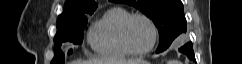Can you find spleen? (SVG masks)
<instances>
[{"mask_svg": "<svg viewBox=\"0 0 242 64\" xmlns=\"http://www.w3.org/2000/svg\"><path fill=\"white\" fill-rule=\"evenodd\" d=\"M169 64H180V63L178 61L172 60V61H169Z\"/></svg>", "mask_w": 242, "mask_h": 64, "instance_id": "obj_1", "label": "spleen"}]
</instances>
